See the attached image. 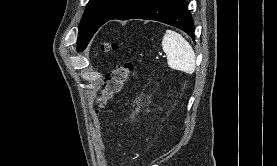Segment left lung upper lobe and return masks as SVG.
Wrapping results in <instances>:
<instances>
[{"mask_svg":"<svg viewBox=\"0 0 277 166\" xmlns=\"http://www.w3.org/2000/svg\"><path fill=\"white\" fill-rule=\"evenodd\" d=\"M134 0H90L78 31L77 50L83 51L95 32Z\"/></svg>","mask_w":277,"mask_h":166,"instance_id":"obj_1","label":"left lung upper lobe"}]
</instances>
